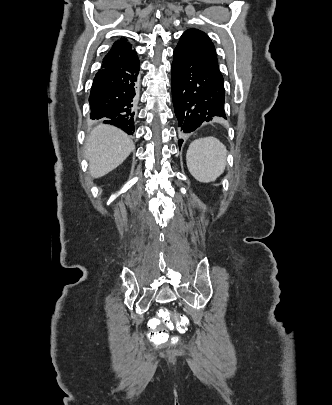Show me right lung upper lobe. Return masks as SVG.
I'll return each instance as SVG.
<instances>
[{"instance_id":"1","label":"right lung upper lobe","mask_w":332,"mask_h":405,"mask_svg":"<svg viewBox=\"0 0 332 405\" xmlns=\"http://www.w3.org/2000/svg\"><path fill=\"white\" fill-rule=\"evenodd\" d=\"M136 58V52L132 50L127 40L120 38L114 42L112 49L104 57L102 68L124 65Z\"/></svg>"}]
</instances>
